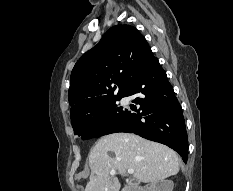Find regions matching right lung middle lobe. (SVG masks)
Wrapping results in <instances>:
<instances>
[{"instance_id":"right-lung-middle-lobe-1","label":"right lung middle lobe","mask_w":233,"mask_h":191,"mask_svg":"<svg viewBox=\"0 0 233 191\" xmlns=\"http://www.w3.org/2000/svg\"><path fill=\"white\" fill-rule=\"evenodd\" d=\"M122 97L100 104L71 117L74 133L83 139L97 138L105 133L125 114L126 109L116 103Z\"/></svg>"}]
</instances>
